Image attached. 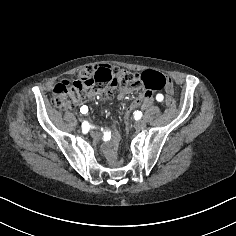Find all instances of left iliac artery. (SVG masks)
<instances>
[{
  "label": "left iliac artery",
  "mask_w": 236,
  "mask_h": 236,
  "mask_svg": "<svg viewBox=\"0 0 236 236\" xmlns=\"http://www.w3.org/2000/svg\"><path fill=\"white\" fill-rule=\"evenodd\" d=\"M163 95L162 94H157V96H156V100L157 101H159V102H161L162 100H163Z\"/></svg>",
  "instance_id": "obj_1"
}]
</instances>
